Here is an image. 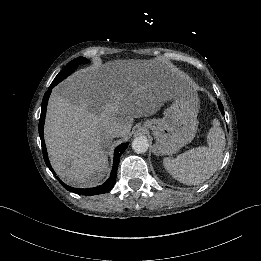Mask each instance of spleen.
Masks as SVG:
<instances>
[{
	"instance_id": "3e777b00",
	"label": "spleen",
	"mask_w": 261,
	"mask_h": 261,
	"mask_svg": "<svg viewBox=\"0 0 261 261\" xmlns=\"http://www.w3.org/2000/svg\"><path fill=\"white\" fill-rule=\"evenodd\" d=\"M208 146L189 149L175 158L162 159L165 170L177 181L186 185H198L210 178L222 161L225 136L214 121L207 134Z\"/></svg>"
}]
</instances>
